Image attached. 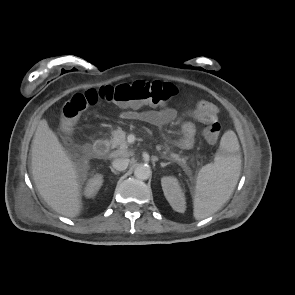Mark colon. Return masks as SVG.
Returning <instances> with one entry per match:
<instances>
[{
  "instance_id": "1",
  "label": "colon",
  "mask_w": 295,
  "mask_h": 295,
  "mask_svg": "<svg viewBox=\"0 0 295 295\" xmlns=\"http://www.w3.org/2000/svg\"><path fill=\"white\" fill-rule=\"evenodd\" d=\"M177 94V88L171 83L138 80L132 83L107 85L90 89L71 97L62 107V129L69 131L73 122L81 113L100 101L116 104L120 107L139 108L145 105L163 106ZM220 124L217 120L205 123L203 137L209 141L217 140Z\"/></svg>"
}]
</instances>
